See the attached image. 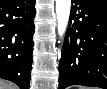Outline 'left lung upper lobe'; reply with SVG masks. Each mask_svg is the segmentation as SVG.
I'll list each match as a JSON object with an SVG mask.
<instances>
[{
  "label": "left lung upper lobe",
  "mask_w": 107,
  "mask_h": 89,
  "mask_svg": "<svg viewBox=\"0 0 107 89\" xmlns=\"http://www.w3.org/2000/svg\"><path fill=\"white\" fill-rule=\"evenodd\" d=\"M97 1H101V2L107 3V0H97Z\"/></svg>",
  "instance_id": "obj_1"
}]
</instances>
